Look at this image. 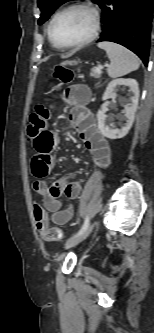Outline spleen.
<instances>
[{"mask_svg":"<svg viewBox=\"0 0 154 333\" xmlns=\"http://www.w3.org/2000/svg\"><path fill=\"white\" fill-rule=\"evenodd\" d=\"M98 47L104 49L110 59L107 73L111 78L127 75L140 66L139 58L121 45L104 41L98 43Z\"/></svg>","mask_w":154,"mask_h":333,"instance_id":"1","label":"spleen"}]
</instances>
